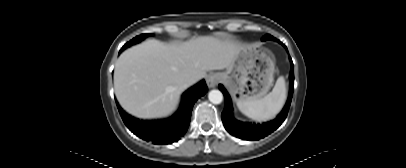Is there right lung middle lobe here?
<instances>
[{"label": "right lung middle lobe", "instance_id": "obj_1", "mask_svg": "<svg viewBox=\"0 0 406 168\" xmlns=\"http://www.w3.org/2000/svg\"><path fill=\"white\" fill-rule=\"evenodd\" d=\"M152 35H153V34H142V35H139V36L133 38V39H132L131 41H129L128 43H126V44L122 47V49H124V48H126V47H128V46H130V45H132V44H136V43L142 41L143 39H145L146 37H149V36H152Z\"/></svg>", "mask_w": 406, "mask_h": 168}]
</instances>
